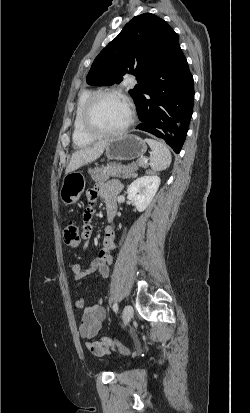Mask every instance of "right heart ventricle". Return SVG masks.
Wrapping results in <instances>:
<instances>
[{
    "label": "right heart ventricle",
    "instance_id": "right-heart-ventricle-1",
    "mask_svg": "<svg viewBox=\"0 0 250 413\" xmlns=\"http://www.w3.org/2000/svg\"><path fill=\"white\" fill-rule=\"evenodd\" d=\"M92 93L93 92L91 90H84L81 92L77 100V104H76V108L74 112V119H73L72 140H73V144L78 148L85 147L94 141V138L88 136L83 131L82 124H81L83 107L87 99Z\"/></svg>",
    "mask_w": 250,
    "mask_h": 413
}]
</instances>
